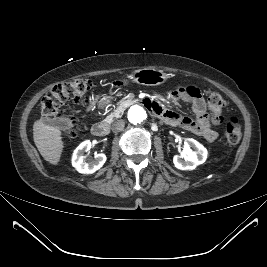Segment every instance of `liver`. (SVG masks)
Wrapping results in <instances>:
<instances>
[{
    "mask_svg": "<svg viewBox=\"0 0 267 267\" xmlns=\"http://www.w3.org/2000/svg\"><path fill=\"white\" fill-rule=\"evenodd\" d=\"M97 98L95 99V101ZM94 99L92 104H94ZM90 107L87 108L89 110ZM59 128L37 120L33 125V139L41 156L51 164H58L64 148Z\"/></svg>",
    "mask_w": 267,
    "mask_h": 267,
    "instance_id": "6515ba94",
    "label": "liver"
}]
</instances>
